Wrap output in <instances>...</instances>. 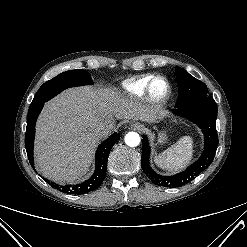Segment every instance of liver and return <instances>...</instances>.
Wrapping results in <instances>:
<instances>
[{"mask_svg":"<svg viewBox=\"0 0 247 247\" xmlns=\"http://www.w3.org/2000/svg\"><path fill=\"white\" fill-rule=\"evenodd\" d=\"M164 116L159 108L128 99L114 88L67 89L47 103L37 121L36 167L54 182H73L87 172L100 139L110 134L116 119L153 123ZM100 122L110 128L102 137L94 132Z\"/></svg>","mask_w":247,"mask_h":247,"instance_id":"6515ba94","label":"liver"}]
</instances>
